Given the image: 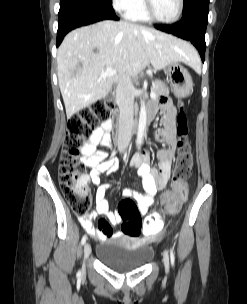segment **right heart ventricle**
<instances>
[{"instance_id": "right-heart-ventricle-1", "label": "right heart ventricle", "mask_w": 247, "mask_h": 304, "mask_svg": "<svg viewBox=\"0 0 247 304\" xmlns=\"http://www.w3.org/2000/svg\"><path fill=\"white\" fill-rule=\"evenodd\" d=\"M127 19L134 22H147L148 16L145 13L143 0H139L138 3L125 13Z\"/></svg>"}]
</instances>
